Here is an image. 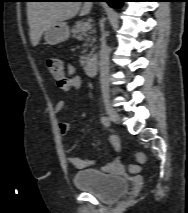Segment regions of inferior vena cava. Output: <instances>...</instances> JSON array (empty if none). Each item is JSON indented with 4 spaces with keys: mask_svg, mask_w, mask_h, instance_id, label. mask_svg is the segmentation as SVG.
<instances>
[{
    "mask_svg": "<svg viewBox=\"0 0 188 213\" xmlns=\"http://www.w3.org/2000/svg\"><path fill=\"white\" fill-rule=\"evenodd\" d=\"M101 30H102V36H101V49H100V82H101V88L102 91L108 92L109 90V84H108V77H109V50L106 44V36L104 34V28L103 23H101Z\"/></svg>",
    "mask_w": 188,
    "mask_h": 213,
    "instance_id": "1",
    "label": "inferior vena cava"
}]
</instances>
